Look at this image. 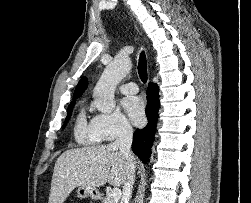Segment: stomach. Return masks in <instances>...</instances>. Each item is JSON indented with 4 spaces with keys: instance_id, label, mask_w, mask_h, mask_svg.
I'll return each mask as SVG.
<instances>
[{
    "instance_id": "stomach-1",
    "label": "stomach",
    "mask_w": 251,
    "mask_h": 203,
    "mask_svg": "<svg viewBox=\"0 0 251 203\" xmlns=\"http://www.w3.org/2000/svg\"><path fill=\"white\" fill-rule=\"evenodd\" d=\"M98 195V190L96 187L92 186H80L77 189V196L80 199H85L88 197L95 198Z\"/></svg>"
}]
</instances>
